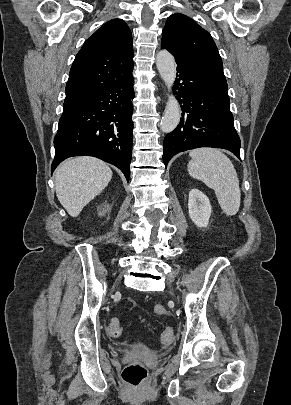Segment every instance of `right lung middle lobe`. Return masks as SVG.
Here are the masks:
<instances>
[{
	"instance_id": "1",
	"label": "right lung middle lobe",
	"mask_w": 291,
	"mask_h": 405,
	"mask_svg": "<svg viewBox=\"0 0 291 405\" xmlns=\"http://www.w3.org/2000/svg\"><path fill=\"white\" fill-rule=\"evenodd\" d=\"M73 105H63V112L67 111L69 108H71Z\"/></svg>"
}]
</instances>
